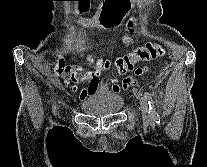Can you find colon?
<instances>
[{
  "label": "colon",
  "mask_w": 207,
  "mask_h": 167,
  "mask_svg": "<svg viewBox=\"0 0 207 167\" xmlns=\"http://www.w3.org/2000/svg\"><path fill=\"white\" fill-rule=\"evenodd\" d=\"M161 52V48L157 45L147 44L118 59L116 63L121 71H125L130 69L137 60L150 59L157 56ZM89 61L94 64V73L96 75L103 73L108 67V62L103 59H94L93 57H90ZM137 73L140 74L141 70H138Z\"/></svg>",
  "instance_id": "colon-1"
}]
</instances>
